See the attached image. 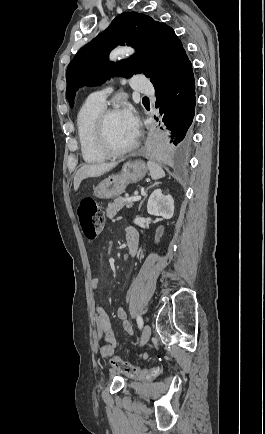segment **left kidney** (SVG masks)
Here are the masks:
<instances>
[{"instance_id": "left-kidney-1", "label": "left kidney", "mask_w": 265, "mask_h": 434, "mask_svg": "<svg viewBox=\"0 0 265 434\" xmlns=\"http://www.w3.org/2000/svg\"><path fill=\"white\" fill-rule=\"evenodd\" d=\"M147 212L151 216H162L165 220H170L174 214V200L172 196H164L162 190H154L151 194L148 204Z\"/></svg>"}]
</instances>
